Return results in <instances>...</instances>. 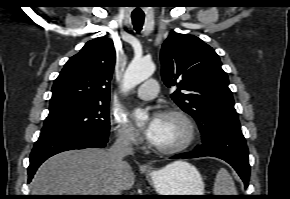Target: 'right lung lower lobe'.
I'll list each match as a JSON object with an SVG mask.
<instances>
[{
	"label": "right lung lower lobe",
	"instance_id": "98d812e1",
	"mask_svg": "<svg viewBox=\"0 0 290 199\" xmlns=\"http://www.w3.org/2000/svg\"><path fill=\"white\" fill-rule=\"evenodd\" d=\"M108 142V134L93 132L78 133L39 140L35 143L30 155L28 183L32 180L38 167L49 157L67 150L88 147L102 148Z\"/></svg>",
	"mask_w": 290,
	"mask_h": 199
}]
</instances>
